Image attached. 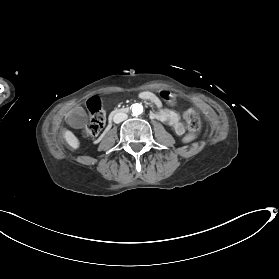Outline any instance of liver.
Returning a JSON list of instances; mask_svg holds the SVG:
<instances>
[{
  "instance_id": "1",
  "label": "liver",
  "mask_w": 279,
  "mask_h": 279,
  "mask_svg": "<svg viewBox=\"0 0 279 279\" xmlns=\"http://www.w3.org/2000/svg\"><path fill=\"white\" fill-rule=\"evenodd\" d=\"M64 139L67 145L74 151H78L80 148V140L77 135L70 129L64 130Z\"/></svg>"
}]
</instances>
